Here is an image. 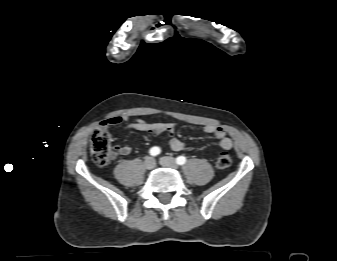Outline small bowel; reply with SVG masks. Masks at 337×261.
Here are the masks:
<instances>
[{"label": "small bowel", "instance_id": "1", "mask_svg": "<svg viewBox=\"0 0 337 261\" xmlns=\"http://www.w3.org/2000/svg\"><path fill=\"white\" fill-rule=\"evenodd\" d=\"M125 118L120 116H113L100 123V127L106 129L110 126H117L122 124ZM125 128L128 130L147 132L154 136L166 135L169 138V144L172 150L182 151L186 144L183 140L175 136V124L170 122H147L141 119L129 121ZM204 132L213 135L219 141V145L224 150H229L233 147L232 140L227 136L226 130L218 125L207 124L204 126ZM132 151L128 145L117 147L118 154L128 155Z\"/></svg>", "mask_w": 337, "mask_h": 261}]
</instances>
